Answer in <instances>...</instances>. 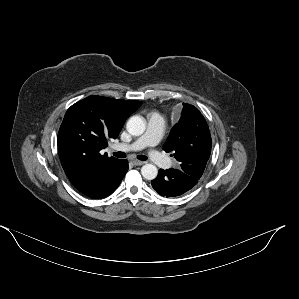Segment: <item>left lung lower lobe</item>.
<instances>
[{"mask_svg":"<svg viewBox=\"0 0 299 299\" xmlns=\"http://www.w3.org/2000/svg\"><path fill=\"white\" fill-rule=\"evenodd\" d=\"M198 180L181 169H160L157 178L151 181L153 188L165 197H176L189 191Z\"/></svg>","mask_w":299,"mask_h":299,"instance_id":"0a47b994","label":"left lung lower lobe"}]
</instances>
